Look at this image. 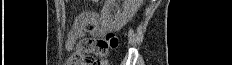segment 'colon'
Masks as SVG:
<instances>
[{
    "label": "colon",
    "instance_id": "1",
    "mask_svg": "<svg viewBox=\"0 0 232 65\" xmlns=\"http://www.w3.org/2000/svg\"><path fill=\"white\" fill-rule=\"evenodd\" d=\"M118 45L119 37L114 33H109L98 42L90 39L81 41L78 45V51L89 65H107L108 63L103 57L107 51L117 48Z\"/></svg>",
    "mask_w": 232,
    "mask_h": 65
}]
</instances>
